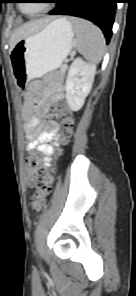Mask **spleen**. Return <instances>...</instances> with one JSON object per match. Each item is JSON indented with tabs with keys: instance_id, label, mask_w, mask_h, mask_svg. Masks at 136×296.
Masks as SVG:
<instances>
[{
	"instance_id": "1",
	"label": "spleen",
	"mask_w": 136,
	"mask_h": 296,
	"mask_svg": "<svg viewBox=\"0 0 136 296\" xmlns=\"http://www.w3.org/2000/svg\"><path fill=\"white\" fill-rule=\"evenodd\" d=\"M79 53L91 63H98L105 53V39L101 30L84 19L71 18Z\"/></svg>"
}]
</instances>
